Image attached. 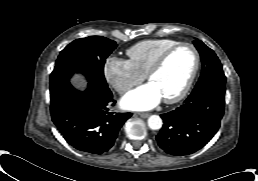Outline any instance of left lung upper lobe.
Returning <instances> with one entry per match:
<instances>
[{
	"mask_svg": "<svg viewBox=\"0 0 258 181\" xmlns=\"http://www.w3.org/2000/svg\"><path fill=\"white\" fill-rule=\"evenodd\" d=\"M193 43L198 49L202 60L201 76L193 91H197L212 83L225 84L226 77L222 65L213 50L207 47L202 41L195 40Z\"/></svg>",
	"mask_w": 258,
	"mask_h": 181,
	"instance_id": "1",
	"label": "left lung upper lobe"
}]
</instances>
